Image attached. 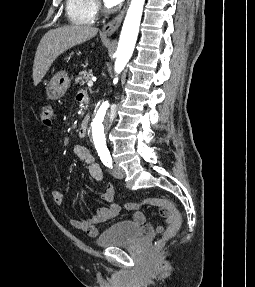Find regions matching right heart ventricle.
<instances>
[{
	"label": "right heart ventricle",
	"instance_id": "e07e8e85",
	"mask_svg": "<svg viewBox=\"0 0 255 287\" xmlns=\"http://www.w3.org/2000/svg\"><path fill=\"white\" fill-rule=\"evenodd\" d=\"M78 33H101V32H78ZM86 39H110V38H86ZM98 48H110V47H98Z\"/></svg>",
	"mask_w": 255,
	"mask_h": 287
}]
</instances>
